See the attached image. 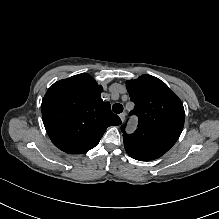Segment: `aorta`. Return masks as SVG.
Masks as SVG:
<instances>
[{
    "mask_svg": "<svg viewBox=\"0 0 219 219\" xmlns=\"http://www.w3.org/2000/svg\"><path fill=\"white\" fill-rule=\"evenodd\" d=\"M134 129V124H132L131 126H130V128H129V130H133Z\"/></svg>",
    "mask_w": 219,
    "mask_h": 219,
    "instance_id": "obj_1",
    "label": "aorta"
}]
</instances>
